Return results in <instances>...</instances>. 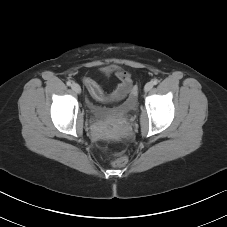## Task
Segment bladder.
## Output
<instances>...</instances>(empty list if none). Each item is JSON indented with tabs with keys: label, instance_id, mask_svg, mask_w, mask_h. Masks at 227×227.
Segmentation results:
<instances>
[{
	"label": "bladder",
	"instance_id": "1",
	"mask_svg": "<svg viewBox=\"0 0 227 227\" xmlns=\"http://www.w3.org/2000/svg\"><path fill=\"white\" fill-rule=\"evenodd\" d=\"M88 108H89L90 114L96 120H106L115 114L114 111H112L108 108L102 107V106H98V105L90 104L88 106ZM133 108H134L133 103H126L123 107V110H124V112H129Z\"/></svg>",
	"mask_w": 227,
	"mask_h": 227
}]
</instances>
